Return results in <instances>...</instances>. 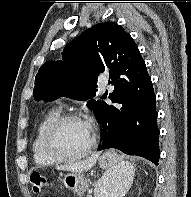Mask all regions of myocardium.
<instances>
[{"instance_id":"myocardium-1","label":"myocardium","mask_w":191,"mask_h":197,"mask_svg":"<svg viewBox=\"0 0 191 197\" xmlns=\"http://www.w3.org/2000/svg\"><path fill=\"white\" fill-rule=\"evenodd\" d=\"M70 121L84 122L81 116L74 113L60 115L49 124V126L46 128L43 134V138H42L43 150L48 157H50L56 162H71V161L80 160L85 156H87L97 145L96 135L95 133H92V139L90 143L82 152L76 155H65L61 153L54 144V136L62 125Z\"/></svg>"}]
</instances>
